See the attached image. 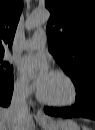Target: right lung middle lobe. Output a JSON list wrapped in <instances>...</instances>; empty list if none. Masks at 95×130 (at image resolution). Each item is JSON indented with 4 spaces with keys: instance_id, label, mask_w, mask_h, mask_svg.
I'll return each instance as SVG.
<instances>
[{
    "instance_id": "dd1d6c3e",
    "label": "right lung middle lobe",
    "mask_w": 95,
    "mask_h": 130,
    "mask_svg": "<svg viewBox=\"0 0 95 130\" xmlns=\"http://www.w3.org/2000/svg\"><path fill=\"white\" fill-rule=\"evenodd\" d=\"M3 56H0V85L9 83L13 80V67L7 62L2 61Z\"/></svg>"
}]
</instances>
